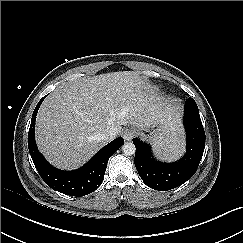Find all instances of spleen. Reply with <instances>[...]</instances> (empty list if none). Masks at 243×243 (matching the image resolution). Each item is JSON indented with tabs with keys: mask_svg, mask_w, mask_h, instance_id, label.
<instances>
[{
	"mask_svg": "<svg viewBox=\"0 0 243 243\" xmlns=\"http://www.w3.org/2000/svg\"><path fill=\"white\" fill-rule=\"evenodd\" d=\"M183 140L179 136H172L169 140L162 143L159 154L165 160L177 159L184 151Z\"/></svg>",
	"mask_w": 243,
	"mask_h": 243,
	"instance_id": "1",
	"label": "spleen"
}]
</instances>
